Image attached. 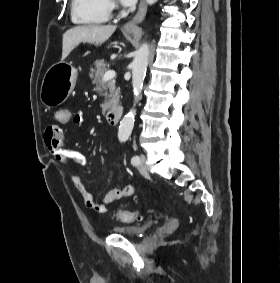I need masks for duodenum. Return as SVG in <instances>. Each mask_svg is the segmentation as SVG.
<instances>
[{
	"instance_id": "duodenum-1",
	"label": "duodenum",
	"mask_w": 280,
	"mask_h": 283,
	"mask_svg": "<svg viewBox=\"0 0 280 283\" xmlns=\"http://www.w3.org/2000/svg\"><path fill=\"white\" fill-rule=\"evenodd\" d=\"M122 112L123 107L121 105L112 108L106 113V121L111 125H116L121 118Z\"/></svg>"
}]
</instances>
